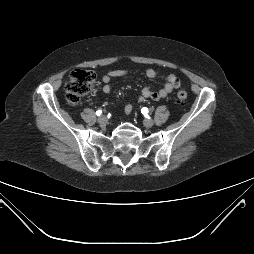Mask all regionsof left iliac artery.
I'll use <instances>...</instances> for the list:
<instances>
[{
  "label": "left iliac artery",
  "instance_id": "44dca946",
  "mask_svg": "<svg viewBox=\"0 0 254 254\" xmlns=\"http://www.w3.org/2000/svg\"><path fill=\"white\" fill-rule=\"evenodd\" d=\"M148 112H149V110H148V108H146V107H143V108L141 109V113H142L143 115H145V116H147ZM148 118H149V117H148Z\"/></svg>",
  "mask_w": 254,
  "mask_h": 254
}]
</instances>
